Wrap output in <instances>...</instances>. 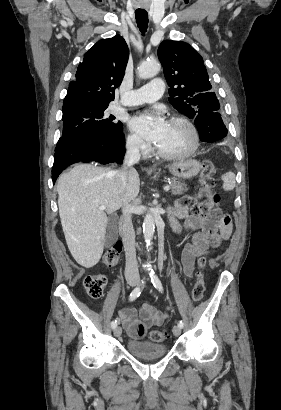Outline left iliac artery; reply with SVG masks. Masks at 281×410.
I'll use <instances>...</instances> for the list:
<instances>
[{"label":"left iliac artery","mask_w":281,"mask_h":410,"mask_svg":"<svg viewBox=\"0 0 281 410\" xmlns=\"http://www.w3.org/2000/svg\"><path fill=\"white\" fill-rule=\"evenodd\" d=\"M151 282H152L153 286H154L158 291H160L161 293L163 292L162 283H161L160 279L157 277V275H155L154 273L151 274ZM183 325H184L183 322H182V321H179L178 326H179L180 328H182Z\"/></svg>","instance_id":"left-iliac-artery-1"}]
</instances>
